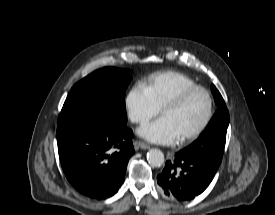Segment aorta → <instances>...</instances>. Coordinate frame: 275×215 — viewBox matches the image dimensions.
<instances>
[{"mask_svg":"<svg viewBox=\"0 0 275 215\" xmlns=\"http://www.w3.org/2000/svg\"><path fill=\"white\" fill-rule=\"evenodd\" d=\"M147 160L153 167H161L164 164V154L159 149H151L147 154Z\"/></svg>","mask_w":275,"mask_h":215,"instance_id":"obj_1","label":"aorta"}]
</instances>
